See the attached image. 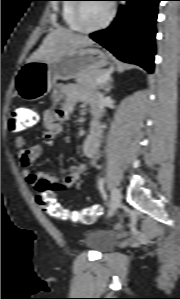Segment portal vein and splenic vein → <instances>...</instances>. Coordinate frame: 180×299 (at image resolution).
<instances>
[{
	"label": "portal vein and splenic vein",
	"instance_id": "1",
	"mask_svg": "<svg viewBox=\"0 0 180 299\" xmlns=\"http://www.w3.org/2000/svg\"><path fill=\"white\" fill-rule=\"evenodd\" d=\"M109 79H110V74L107 73V74L101 76L100 78H98L96 84L100 85V84L106 83Z\"/></svg>",
	"mask_w": 180,
	"mask_h": 299
}]
</instances>
